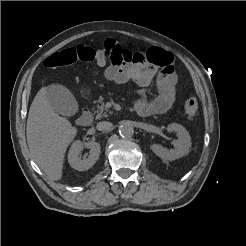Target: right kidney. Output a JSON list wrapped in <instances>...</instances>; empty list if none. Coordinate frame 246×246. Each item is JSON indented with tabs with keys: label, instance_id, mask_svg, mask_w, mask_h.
<instances>
[{
	"label": "right kidney",
	"instance_id": "right-kidney-1",
	"mask_svg": "<svg viewBox=\"0 0 246 246\" xmlns=\"http://www.w3.org/2000/svg\"><path fill=\"white\" fill-rule=\"evenodd\" d=\"M84 148L89 149V155L87 158H81L80 154ZM100 144L94 141H88L82 143L81 141H75L68 154V162L72 168L78 171H85L90 169L98 160L100 155Z\"/></svg>",
	"mask_w": 246,
	"mask_h": 246
}]
</instances>
